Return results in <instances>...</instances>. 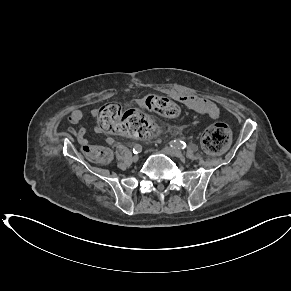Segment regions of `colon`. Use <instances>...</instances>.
Instances as JSON below:
<instances>
[{
  "label": "colon",
  "instance_id": "colon-1",
  "mask_svg": "<svg viewBox=\"0 0 291 291\" xmlns=\"http://www.w3.org/2000/svg\"><path fill=\"white\" fill-rule=\"evenodd\" d=\"M142 109L155 112L166 117L179 114V107L169 98L158 94H147L140 98ZM99 129L115 134H127L135 138H146L153 132L152 119L144 112L136 109L123 111L117 103L102 106L98 113ZM231 131L224 122L212 124L202 136V146L210 154L224 152L230 144ZM84 154L99 163H106L111 158L109 149L102 146L85 145Z\"/></svg>",
  "mask_w": 291,
  "mask_h": 291
}]
</instances>
